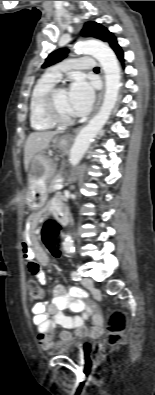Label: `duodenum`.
<instances>
[{
  "mask_svg": "<svg viewBox=\"0 0 155 395\" xmlns=\"http://www.w3.org/2000/svg\"><path fill=\"white\" fill-rule=\"evenodd\" d=\"M59 223L66 224L68 221V215L64 208H60L57 213L55 214Z\"/></svg>",
  "mask_w": 155,
  "mask_h": 395,
  "instance_id": "obj_1",
  "label": "duodenum"
}]
</instances>
